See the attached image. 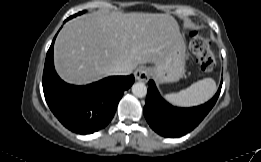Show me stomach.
I'll list each match as a JSON object with an SVG mask.
<instances>
[{
  "label": "stomach",
  "instance_id": "obj_1",
  "mask_svg": "<svg viewBox=\"0 0 261 162\" xmlns=\"http://www.w3.org/2000/svg\"><path fill=\"white\" fill-rule=\"evenodd\" d=\"M186 45L180 35L165 58L150 68L151 76L159 83L176 82L185 73Z\"/></svg>",
  "mask_w": 261,
  "mask_h": 162
}]
</instances>
